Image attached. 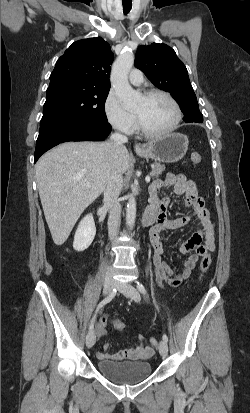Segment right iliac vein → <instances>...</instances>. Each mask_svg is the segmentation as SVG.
I'll return each mask as SVG.
<instances>
[{
    "label": "right iliac vein",
    "mask_w": 250,
    "mask_h": 413,
    "mask_svg": "<svg viewBox=\"0 0 250 413\" xmlns=\"http://www.w3.org/2000/svg\"><path fill=\"white\" fill-rule=\"evenodd\" d=\"M115 287V280L111 275L106 276L104 280V288H103V293L105 295H108L111 293L113 288ZM96 342V335L94 330H91L88 332L86 336V345L88 348H91Z\"/></svg>",
    "instance_id": "1"
}]
</instances>
